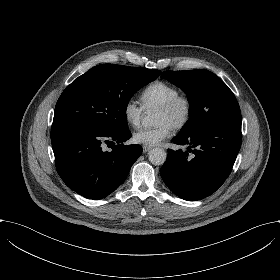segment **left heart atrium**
<instances>
[{"mask_svg": "<svg viewBox=\"0 0 280 280\" xmlns=\"http://www.w3.org/2000/svg\"><path fill=\"white\" fill-rule=\"evenodd\" d=\"M173 129L174 126L171 123L162 121L151 128L137 129L132 133V141L139 145L155 146L169 138Z\"/></svg>", "mask_w": 280, "mask_h": 280, "instance_id": "obj_1", "label": "left heart atrium"}]
</instances>
